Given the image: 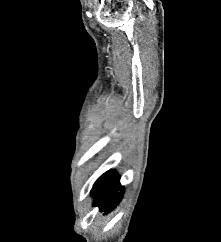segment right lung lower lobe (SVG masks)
Returning a JSON list of instances; mask_svg holds the SVG:
<instances>
[{"label": "right lung lower lobe", "mask_w": 221, "mask_h": 242, "mask_svg": "<svg viewBox=\"0 0 221 242\" xmlns=\"http://www.w3.org/2000/svg\"><path fill=\"white\" fill-rule=\"evenodd\" d=\"M123 193V187L119 184V176L113 171H107L96 181L92 189L94 206L108 213L118 204Z\"/></svg>", "instance_id": "obj_1"}]
</instances>
